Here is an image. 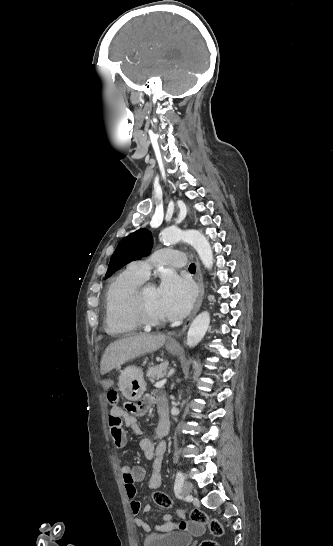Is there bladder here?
Wrapping results in <instances>:
<instances>
[{
  "label": "bladder",
  "mask_w": 333,
  "mask_h": 546,
  "mask_svg": "<svg viewBox=\"0 0 333 546\" xmlns=\"http://www.w3.org/2000/svg\"><path fill=\"white\" fill-rule=\"evenodd\" d=\"M191 535L183 531L166 534H150L144 539L143 546H190Z\"/></svg>",
  "instance_id": "bladder-1"
}]
</instances>
